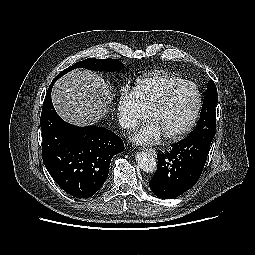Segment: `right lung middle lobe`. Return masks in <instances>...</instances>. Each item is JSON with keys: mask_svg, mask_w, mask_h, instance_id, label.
Here are the masks:
<instances>
[{"mask_svg": "<svg viewBox=\"0 0 255 255\" xmlns=\"http://www.w3.org/2000/svg\"><path fill=\"white\" fill-rule=\"evenodd\" d=\"M122 63L114 59H95L90 58L80 62H77L74 66H70L67 69L63 70L60 74H58L52 83H55L60 77H62L67 72L75 69V68H86L89 70L96 71H115L122 67Z\"/></svg>", "mask_w": 255, "mask_h": 255, "instance_id": "obj_1", "label": "right lung middle lobe"}]
</instances>
